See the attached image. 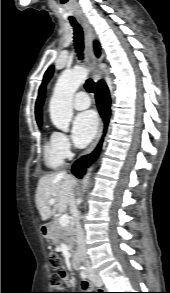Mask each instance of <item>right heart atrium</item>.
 <instances>
[{"instance_id": "obj_1", "label": "right heart atrium", "mask_w": 170, "mask_h": 293, "mask_svg": "<svg viewBox=\"0 0 170 293\" xmlns=\"http://www.w3.org/2000/svg\"><path fill=\"white\" fill-rule=\"evenodd\" d=\"M53 144L55 150L63 157L68 158L72 154V145L68 139V137L60 132L55 131L53 133Z\"/></svg>"}]
</instances>
